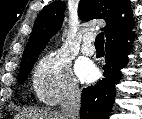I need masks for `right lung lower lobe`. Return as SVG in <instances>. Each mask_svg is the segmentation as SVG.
<instances>
[{"label": "right lung lower lobe", "mask_w": 142, "mask_h": 119, "mask_svg": "<svg viewBox=\"0 0 142 119\" xmlns=\"http://www.w3.org/2000/svg\"><path fill=\"white\" fill-rule=\"evenodd\" d=\"M135 34L130 32L125 36L106 42V65L104 78L97 85L83 89L81 94V119H108L115 98V84L122 74L121 68L127 63L130 53V43Z\"/></svg>", "instance_id": "right-lung-lower-lobe-1"}]
</instances>
